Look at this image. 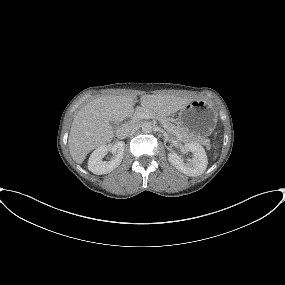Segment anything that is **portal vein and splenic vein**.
Returning <instances> with one entry per match:
<instances>
[{
	"label": "portal vein and splenic vein",
	"instance_id": "1",
	"mask_svg": "<svg viewBox=\"0 0 285 285\" xmlns=\"http://www.w3.org/2000/svg\"><path fill=\"white\" fill-rule=\"evenodd\" d=\"M137 117L150 119V118H154V115H152L151 113H147V112H138ZM160 123L163 126V128H165L166 130H169L168 126L165 123L163 122H160Z\"/></svg>",
	"mask_w": 285,
	"mask_h": 285
}]
</instances>
